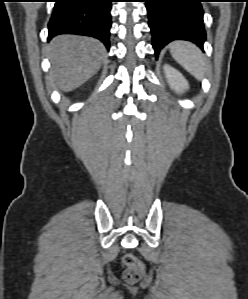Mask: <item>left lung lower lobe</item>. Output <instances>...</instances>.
<instances>
[{"label":"left lung lower lobe","instance_id":"1","mask_svg":"<svg viewBox=\"0 0 248 299\" xmlns=\"http://www.w3.org/2000/svg\"><path fill=\"white\" fill-rule=\"evenodd\" d=\"M155 54L173 40H187L203 48V0H145Z\"/></svg>","mask_w":248,"mask_h":299}]
</instances>
